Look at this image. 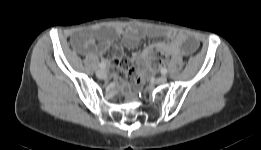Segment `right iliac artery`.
<instances>
[{
    "instance_id": "obj_1",
    "label": "right iliac artery",
    "mask_w": 261,
    "mask_h": 150,
    "mask_svg": "<svg viewBox=\"0 0 261 150\" xmlns=\"http://www.w3.org/2000/svg\"><path fill=\"white\" fill-rule=\"evenodd\" d=\"M99 67H100L101 69H104V68L106 67V65H105L104 63H100V64H99Z\"/></svg>"
}]
</instances>
